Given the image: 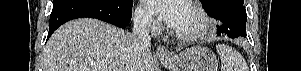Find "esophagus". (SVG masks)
I'll return each mask as SVG.
<instances>
[{
	"mask_svg": "<svg viewBox=\"0 0 301 71\" xmlns=\"http://www.w3.org/2000/svg\"><path fill=\"white\" fill-rule=\"evenodd\" d=\"M156 54L161 59H168L171 56L169 50L166 47L162 46V45H159L157 47Z\"/></svg>",
	"mask_w": 301,
	"mask_h": 71,
	"instance_id": "1",
	"label": "esophagus"
}]
</instances>
